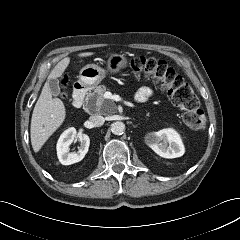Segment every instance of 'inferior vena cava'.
Segmentation results:
<instances>
[{"mask_svg":"<svg viewBox=\"0 0 240 240\" xmlns=\"http://www.w3.org/2000/svg\"><path fill=\"white\" fill-rule=\"evenodd\" d=\"M89 120L96 127L102 126L105 122V118L101 115H92Z\"/></svg>","mask_w":240,"mask_h":240,"instance_id":"obj_1","label":"inferior vena cava"}]
</instances>
